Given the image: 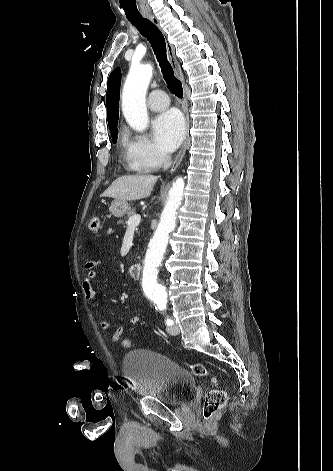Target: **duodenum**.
Segmentation results:
<instances>
[{
    "label": "duodenum",
    "mask_w": 333,
    "mask_h": 471,
    "mask_svg": "<svg viewBox=\"0 0 333 471\" xmlns=\"http://www.w3.org/2000/svg\"><path fill=\"white\" fill-rule=\"evenodd\" d=\"M141 271L142 266L139 263L132 264L128 269L130 276L134 279H138L140 277Z\"/></svg>",
    "instance_id": "duodenum-1"
}]
</instances>
